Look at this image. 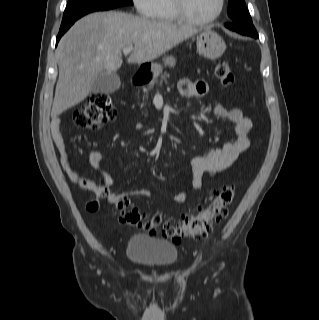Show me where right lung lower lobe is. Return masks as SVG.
<instances>
[{"mask_svg":"<svg viewBox=\"0 0 319 320\" xmlns=\"http://www.w3.org/2000/svg\"><path fill=\"white\" fill-rule=\"evenodd\" d=\"M70 26H68L66 28H60L59 34H58L57 39H56V45H57L59 39L61 38V36L70 28Z\"/></svg>","mask_w":319,"mask_h":320,"instance_id":"obj_1","label":"right lung lower lobe"}]
</instances>
